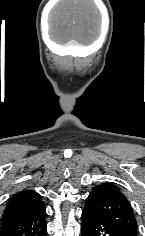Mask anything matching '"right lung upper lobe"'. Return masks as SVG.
<instances>
[{
	"label": "right lung upper lobe",
	"instance_id": "cb5924a9",
	"mask_svg": "<svg viewBox=\"0 0 145 236\" xmlns=\"http://www.w3.org/2000/svg\"><path fill=\"white\" fill-rule=\"evenodd\" d=\"M44 207L41 195L32 190L21 191L7 204L3 214V221L38 211Z\"/></svg>",
	"mask_w": 145,
	"mask_h": 236
}]
</instances>
